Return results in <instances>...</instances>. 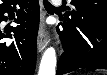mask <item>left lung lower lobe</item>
I'll use <instances>...</instances> for the list:
<instances>
[{
	"label": "left lung lower lobe",
	"instance_id": "1",
	"mask_svg": "<svg viewBox=\"0 0 107 75\" xmlns=\"http://www.w3.org/2000/svg\"><path fill=\"white\" fill-rule=\"evenodd\" d=\"M83 1L72 0L71 4L77 7ZM71 12L67 11L66 14ZM81 17L82 35L80 37L64 21L57 26L65 52L58 62L56 75L79 68L107 69V14L96 13Z\"/></svg>",
	"mask_w": 107,
	"mask_h": 75
}]
</instances>
